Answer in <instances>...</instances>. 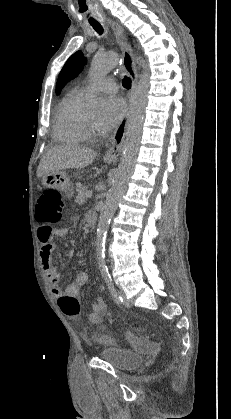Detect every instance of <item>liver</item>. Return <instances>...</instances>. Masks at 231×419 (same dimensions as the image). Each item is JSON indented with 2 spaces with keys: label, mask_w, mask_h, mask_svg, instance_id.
I'll return each mask as SVG.
<instances>
[{
  "label": "liver",
  "mask_w": 231,
  "mask_h": 419,
  "mask_svg": "<svg viewBox=\"0 0 231 419\" xmlns=\"http://www.w3.org/2000/svg\"><path fill=\"white\" fill-rule=\"evenodd\" d=\"M97 153L93 149L77 145H61L50 149L42 158L37 169V177L62 171L64 169H82L89 166Z\"/></svg>",
  "instance_id": "obj_1"
}]
</instances>
